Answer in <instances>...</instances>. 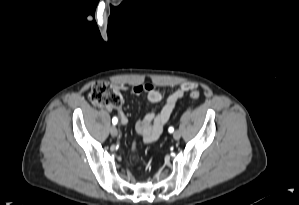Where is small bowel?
<instances>
[{
    "instance_id": "1",
    "label": "small bowel",
    "mask_w": 299,
    "mask_h": 205,
    "mask_svg": "<svg viewBox=\"0 0 299 205\" xmlns=\"http://www.w3.org/2000/svg\"><path fill=\"white\" fill-rule=\"evenodd\" d=\"M122 86H118L121 88ZM196 85L192 82L181 83L170 94H163L151 83L136 85L132 88L133 94L144 92L146 100L151 104L161 103L162 107L158 112L153 110L147 112L136 124V132L142 142L151 143L159 138L167 124L177 102ZM118 116L122 125L128 123V118L122 109L118 110Z\"/></svg>"
}]
</instances>
